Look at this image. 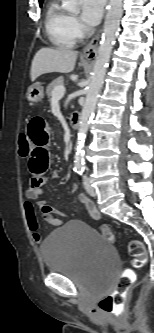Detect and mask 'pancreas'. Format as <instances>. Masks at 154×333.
I'll return each instance as SVG.
<instances>
[{"instance_id": "cf45deb5", "label": "pancreas", "mask_w": 154, "mask_h": 333, "mask_svg": "<svg viewBox=\"0 0 154 333\" xmlns=\"http://www.w3.org/2000/svg\"><path fill=\"white\" fill-rule=\"evenodd\" d=\"M64 84V78L62 76L58 77L57 79L53 80L46 89L47 96L49 100L52 98V91L56 86L63 85Z\"/></svg>"}]
</instances>
